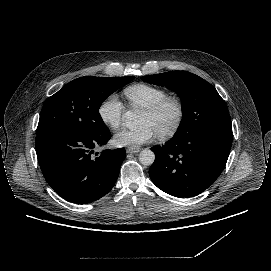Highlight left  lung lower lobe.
<instances>
[{
	"mask_svg": "<svg viewBox=\"0 0 271 271\" xmlns=\"http://www.w3.org/2000/svg\"><path fill=\"white\" fill-rule=\"evenodd\" d=\"M231 145L229 125H209L175 134L165 145L151 148L155 161L149 170L150 178L172 196H196L219 177Z\"/></svg>",
	"mask_w": 271,
	"mask_h": 271,
	"instance_id": "obj_1",
	"label": "left lung lower lobe"
}]
</instances>
